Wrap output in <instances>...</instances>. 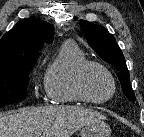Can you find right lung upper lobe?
Wrapping results in <instances>:
<instances>
[{"label": "right lung upper lobe", "instance_id": "right-lung-upper-lobe-1", "mask_svg": "<svg viewBox=\"0 0 144 137\" xmlns=\"http://www.w3.org/2000/svg\"><path fill=\"white\" fill-rule=\"evenodd\" d=\"M54 29L41 18L18 22L0 40V64L37 59L44 43L53 41Z\"/></svg>", "mask_w": 144, "mask_h": 137}]
</instances>
